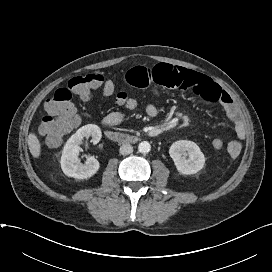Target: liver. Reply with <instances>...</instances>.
<instances>
[{
	"instance_id": "liver-1",
	"label": "liver",
	"mask_w": 272,
	"mask_h": 272,
	"mask_svg": "<svg viewBox=\"0 0 272 272\" xmlns=\"http://www.w3.org/2000/svg\"><path fill=\"white\" fill-rule=\"evenodd\" d=\"M28 146L32 156L34 158H39L41 155V144L34 133H30L28 136Z\"/></svg>"
}]
</instances>
